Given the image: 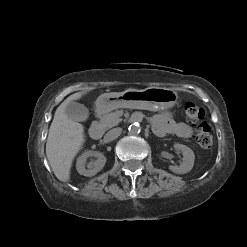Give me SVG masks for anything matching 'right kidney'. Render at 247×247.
Here are the masks:
<instances>
[{
  "label": "right kidney",
  "instance_id": "right-kidney-1",
  "mask_svg": "<svg viewBox=\"0 0 247 247\" xmlns=\"http://www.w3.org/2000/svg\"><path fill=\"white\" fill-rule=\"evenodd\" d=\"M89 157H95L96 160L89 162L87 164V169H86L85 166L87 159ZM105 163H106V157L101 152L86 151L81 156L78 157L76 163V169L79 174L86 177H92L103 169Z\"/></svg>",
  "mask_w": 247,
  "mask_h": 247
}]
</instances>
